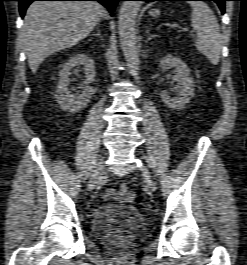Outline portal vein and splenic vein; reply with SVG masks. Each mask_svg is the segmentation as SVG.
Returning a JSON list of instances; mask_svg holds the SVG:
<instances>
[{"instance_id":"1","label":"portal vein and splenic vein","mask_w":247,"mask_h":265,"mask_svg":"<svg viewBox=\"0 0 247 265\" xmlns=\"http://www.w3.org/2000/svg\"><path fill=\"white\" fill-rule=\"evenodd\" d=\"M173 27H179V26L178 25H174ZM180 31L185 32V31H187V29L186 28H181Z\"/></svg>"}]
</instances>
